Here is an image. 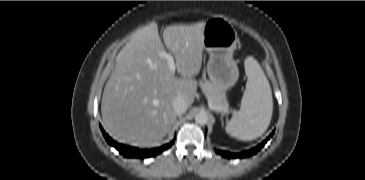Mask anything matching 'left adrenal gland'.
<instances>
[{"instance_id": "1", "label": "left adrenal gland", "mask_w": 365, "mask_h": 180, "mask_svg": "<svg viewBox=\"0 0 365 180\" xmlns=\"http://www.w3.org/2000/svg\"><path fill=\"white\" fill-rule=\"evenodd\" d=\"M221 121H222V124H223V118L221 117Z\"/></svg>"}]
</instances>
